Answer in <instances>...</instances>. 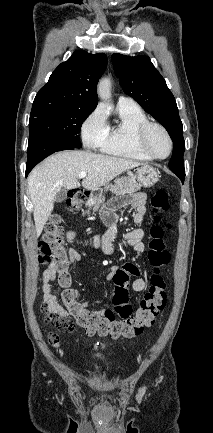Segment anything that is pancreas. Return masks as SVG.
<instances>
[{
  "mask_svg": "<svg viewBox=\"0 0 213 433\" xmlns=\"http://www.w3.org/2000/svg\"><path fill=\"white\" fill-rule=\"evenodd\" d=\"M140 190V185L130 177H121L115 180L114 184L106 186L105 191H111L115 195H124L135 193ZM105 201L104 196H99L95 199L94 203H89V210L93 207V212H96L100 205ZM89 210L86 212L89 214Z\"/></svg>",
  "mask_w": 213,
  "mask_h": 433,
  "instance_id": "pancreas-1",
  "label": "pancreas"
}]
</instances>
